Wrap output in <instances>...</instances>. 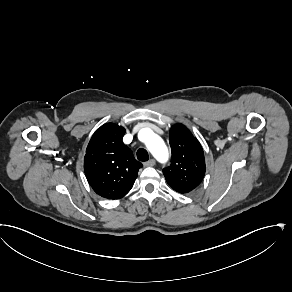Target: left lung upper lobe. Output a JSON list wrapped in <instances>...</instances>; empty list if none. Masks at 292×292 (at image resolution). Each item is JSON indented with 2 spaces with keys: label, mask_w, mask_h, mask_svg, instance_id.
Instances as JSON below:
<instances>
[{
  "label": "left lung upper lobe",
  "mask_w": 292,
  "mask_h": 292,
  "mask_svg": "<svg viewBox=\"0 0 292 292\" xmlns=\"http://www.w3.org/2000/svg\"><path fill=\"white\" fill-rule=\"evenodd\" d=\"M172 151L171 164L163 169L169 186L179 193H189L203 180L205 158L199 141L188 128L175 124L169 132Z\"/></svg>",
  "instance_id": "5c2ea615"
}]
</instances>
